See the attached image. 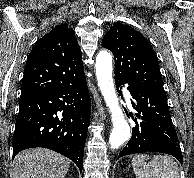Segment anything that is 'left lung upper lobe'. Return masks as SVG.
I'll return each mask as SVG.
<instances>
[{
	"instance_id": "left-lung-upper-lobe-1",
	"label": "left lung upper lobe",
	"mask_w": 194,
	"mask_h": 178,
	"mask_svg": "<svg viewBox=\"0 0 194 178\" xmlns=\"http://www.w3.org/2000/svg\"><path fill=\"white\" fill-rule=\"evenodd\" d=\"M115 57V79L164 91L157 55L150 42L129 25L115 23L102 41Z\"/></svg>"
}]
</instances>
